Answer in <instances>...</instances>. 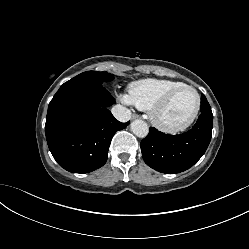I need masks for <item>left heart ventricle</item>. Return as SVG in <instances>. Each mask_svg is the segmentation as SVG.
<instances>
[{"instance_id":"obj_1","label":"left heart ventricle","mask_w":249,"mask_h":249,"mask_svg":"<svg viewBox=\"0 0 249 249\" xmlns=\"http://www.w3.org/2000/svg\"><path fill=\"white\" fill-rule=\"evenodd\" d=\"M195 104L196 96L191 90H180L159 113V119L168 125L180 124L191 115Z\"/></svg>"}]
</instances>
